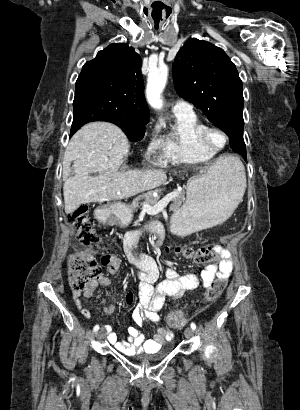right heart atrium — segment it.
Returning <instances> with one entry per match:
<instances>
[{"label": "right heart atrium", "instance_id": "obj_1", "mask_svg": "<svg viewBox=\"0 0 300 410\" xmlns=\"http://www.w3.org/2000/svg\"><path fill=\"white\" fill-rule=\"evenodd\" d=\"M157 131H158V128L156 127V128L154 129V138H153V140L151 141V143H150V145H149V149H148V152H149L150 154H153V153L157 152V151L161 148V146H162V144H161V139H158V138L155 137Z\"/></svg>", "mask_w": 300, "mask_h": 410}]
</instances>
